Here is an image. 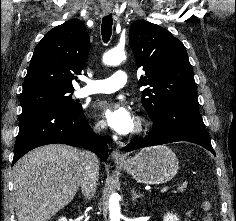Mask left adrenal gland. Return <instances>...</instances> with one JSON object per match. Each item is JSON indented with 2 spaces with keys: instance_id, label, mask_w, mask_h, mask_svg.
I'll return each mask as SVG.
<instances>
[{
  "instance_id": "a2214340",
  "label": "left adrenal gland",
  "mask_w": 236,
  "mask_h": 221,
  "mask_svg": "<svg viewBox=\"0 0 236 221\" xmlns=\"http://www.w3.org/2000/svg\"><path fill=\"white\" fill-rule=\"evenodd\" d=\"M131 193H132V200L133 201H136L138 198H142L143 197V194L137 193L135 191V188L131 189Z\"/></svg>"
}]
</instances>
